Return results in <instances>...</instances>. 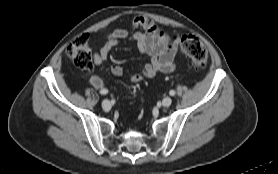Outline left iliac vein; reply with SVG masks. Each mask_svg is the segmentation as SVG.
<instances>
[{
    "label": "left iliac vein",
    "instance_id": "obj_1",
    "mask_svg": "<svg viewBox=\"0 0 278 174\" xmlns=\"http://www.w3.org/2000/svg\"><path fill=\"white\" fill-rule=\"evenodd\" d=\"M172 103V99L170 97H165L163 100H162V105L164 107H169Z\"/></svg>",
    "mask_w": 278,
    "mask_h": 174
}]
</instances>
